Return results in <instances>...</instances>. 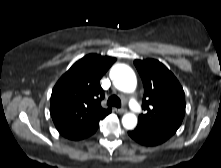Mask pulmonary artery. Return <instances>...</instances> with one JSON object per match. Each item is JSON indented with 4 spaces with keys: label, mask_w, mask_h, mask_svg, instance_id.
<instances>
[{
    "label": "pulmonary artery",
    "mask_w": 221,
    "mask_h": 168,
    "mask_svg": "<svg viewBox=\"0 0 221 168\" xmlns=\"http://www.w3.org/2000/svg\"><path fill=\"white\" fill-rule=\"evenodd\" d=\"M129 106L132 109V111H134V112H139L140 111V106L134 98L130 99Z\"/></svg>",
    "instance_id": "obj_1"
}]
</instances>
